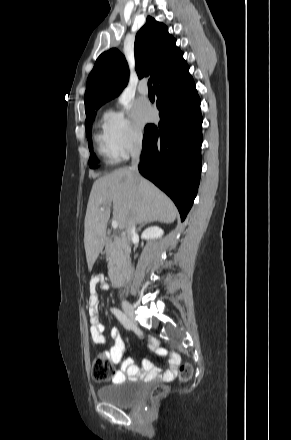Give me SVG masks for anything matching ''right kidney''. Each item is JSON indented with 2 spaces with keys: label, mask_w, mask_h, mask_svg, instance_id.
<instances>
[{
  "label": "right kidney",
  "mask_w": 291,
  "mask_h": 440,
  "mask_svg": "<svg viewBox=\"0 0 291 440\" xmlns=\"http://www.w3.org/2000/svg\"><path fill=\"white\" fill-rule=\"evenodd\" d=\"M163 234L164 231L161 228L157 226H152L144 230V232L141 235V238L146 240L157 239V238H161Z\"/></svg>",
  "instance_id": "obj_1"
}]
</instances>
